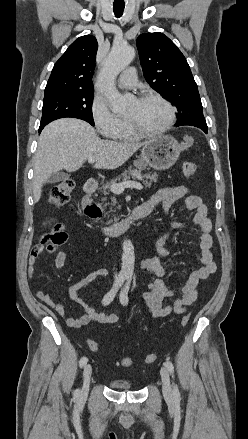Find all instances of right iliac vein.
I'll return each instance as SVG.
<instances>
[{"label": "right iliac vein", "mask_w": 248, "mask_h": 439, "mask_svg": "<svg viewBox=\"0 0 248 439\" xmlns=\"http://www.w3.org/2000/svg\"><path fill=\"white\" fill-rule=\"evenodd\" d=\"M91 375H92V366L91 364H87L84 367V371H83L84 383L81 391V397H86L88 394Z\"/></svg>", "instance_id": "obj_1"}]
</instances>
